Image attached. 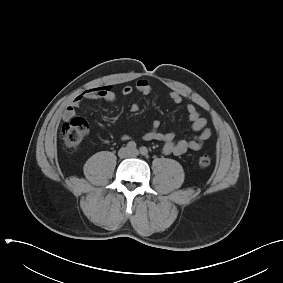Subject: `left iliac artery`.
Listing matches in <instances>:
<instances>
[{
  "mask_svg": "<svg viewBox=\"0 0 283 283\" xmlns=\"http://www.w3.org/2000/svg\"><path fill=\"white\" fill-rule=\"evenodd\" d=\"M140 153L143 156H148V149L145 146L140 147Z\"/></svg>",
  "mask_w": 283,
  "mask_h": 283,
  "instance_id": "obj_1",
  "label": "left iliac artery"
}]
</instances>
